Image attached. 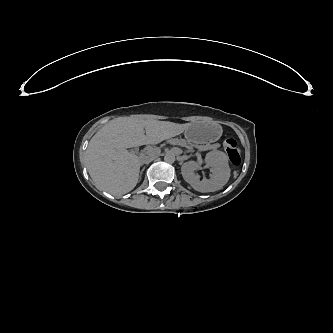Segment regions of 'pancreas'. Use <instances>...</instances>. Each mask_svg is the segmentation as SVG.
Here are the masks:
<instances>
[{
    "label": "pancreas",
    "instance_id": "obj_1",
    "mask_svg": "<svg viewBox=\"0 0 333 333\" xmlns=\"http://www.w3.org/2000/svg\"><path fill=\"white\" fill-rule=\"evenodd\" d=\"M180 142H181L182 144H186V142H185V141H180ZM155 153H156V151H155ZM155 153H154V154H155Z\"/></svg>",
    "mask_w": 333,
    "mask_h": 333
}]
</instances>
